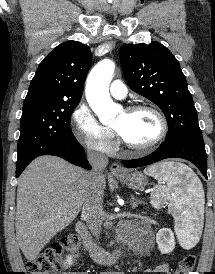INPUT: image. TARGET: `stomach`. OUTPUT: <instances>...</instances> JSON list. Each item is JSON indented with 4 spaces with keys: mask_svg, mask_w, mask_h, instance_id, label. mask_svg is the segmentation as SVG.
I'll return each mask as SVG.
<instances>
[{
    "mask_svg": "<svg viewBox=\"0 0 215 274\" xmlns=\"http://www.w3.org/2000/svg\"><path fill=\"white\" fill-rule=\"evenodd\" d=\"M117 179L134 190L143 189L148 184L147 176L142 172H128L125 175H117Z\"/></svg>",
    "mask_w": 215,
    "mask_h": 274,
    "instance_id": "1",
    "label": "stomach"
}]
</instances>
